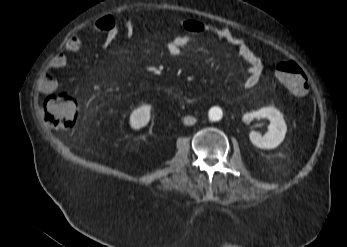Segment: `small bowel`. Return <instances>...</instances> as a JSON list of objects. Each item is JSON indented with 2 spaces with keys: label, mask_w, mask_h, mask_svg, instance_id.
Here are the masks:
<instances>
[{
  "label": "small bowel",
  "mask_w": 347,
  "mask_h": 247,
  "mask_svg": "<svg viewBox=\"0 0 347 247\" xmlns=\"http://www.w3.org/2000/svg\"><path fill=\"white\" fill-rule=\"evenodd\" d=\"M179 23L184 29L183 32L170 40L166 46V51L170 57H178L193 40L216 37L233 47L238 58L248 65V76L244 80L243 87L250 89L257 85L263 68L262 60L237 31L228 27L209 25L196 19H184L180 20ZM93 27L95 30L105 33L104 47L114 40L121 30L112 16H104L97 19L93 23ZM123 30L126 37H131L135 30V24L129 21L124 25ZM81 47L82 41L80 37L73 35L65 42L63 50L64 53L76 54ZM64 53L55 55L49 61L45 72L38 78L37 86L40 92L52 94L57 89L58 81L53 73L66 66L67 56Z\"/></svg>",
  "instance_id": "c3829d8e"
}]
</instances>
